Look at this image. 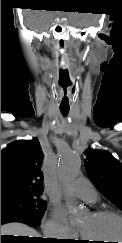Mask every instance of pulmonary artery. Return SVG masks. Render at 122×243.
<instances>
[{"mask_svg": "<svg viewBox=\"0 0 122 243\" xmlns=\"http://www.w3.org/2000/svg\"><path fill=\"white\" fill-rule=\"evenodd\" d=\"M69 189L78 197L88 203H95L98 199L96 190L94 187L85 179H77L74 183L69 186Z\"/></svg>", "mask_w": 122, "mask_h": 243, "instance_id": "e3ab8cb5", "label": "pulmonary artery"}]
</instances>
